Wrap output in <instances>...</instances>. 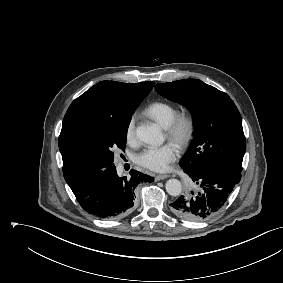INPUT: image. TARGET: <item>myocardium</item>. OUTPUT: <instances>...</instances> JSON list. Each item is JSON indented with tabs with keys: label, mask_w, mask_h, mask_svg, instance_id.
Segmentation results:
<instances>
[{
	"label": "myocardium",
	"mask_w": 283,
	"mask_h": 283,
	"mask_svg": "<svg viewBox=\"0 0 283 283\" xmlns=\"http://www.w3.org/2000/svg\"><path fill=\"white\" fill-rule=\"evenodd\" d=\"M167 137L180 148L187 147L195 133V120L187 113L178 114L166 130Z\"/></svg>",
	"instance_id": "1"
}]
</instances>
